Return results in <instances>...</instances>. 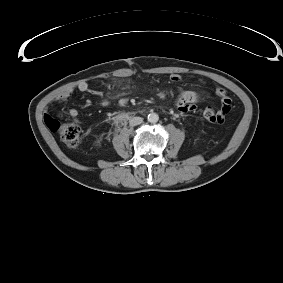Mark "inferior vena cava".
Masks as SVG:
<instances>
[{
  "label": "inferior vena cava",
  "instance_id": "1",
  "mask_svg": "<svg viewBox=\"0 0 283 283\" xmlns=\"http://www.w3.org/2000/svg\"><path fill=\"white\" fill-rule=\"evenodd\" d=\"M143 122V118L141 117H133L129 120L130 126H136Z\"/></svg>",
  "mask_w": 283,
  "mask_h": 283
}]
</instances>
